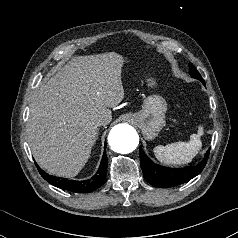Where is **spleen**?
I'll list each match as a JSON object with an SVG mask.
<instances>
[{
    "label": "spleen",
    "instance_id": "obj_1",
    "mask_svg": "<svg viewBox=\"0 0 238 238\" xmlns=\"http://www.w3.org/2000/svg\"><path fill=\"white\" fill-rule=\"evenodd\" d=\"M203 135V127L199 126L198 134L191 135L189 142H176L166 146H156L154 153L157 159L165 163L185 164L192 161L201 149L200 137Z\"/></svg>",
    "mask_w": 238,
    "mask_h": 238
}]
</instances>
